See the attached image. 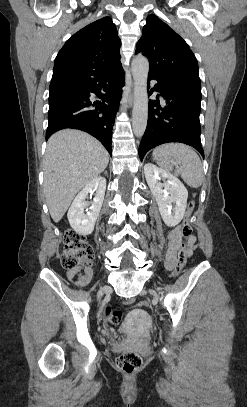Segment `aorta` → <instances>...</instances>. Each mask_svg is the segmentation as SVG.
<instances>
[{
  "mask_svg": "<svg viewBox=\"0 0 247 407\" xmlns=\"http://www.w3.org/2000/svg\"><path fill=\"white\" fill-rule=\"evenodd\" d=\"M134 79V105L132 111V127L137 137L143 136L148 119L147 78L149 62L142 56H136L131 63Z\"/></svg>",
  "mask_w": 247,
  "mask_h": 407,
  "instance_id": "obj_1",
  "label": "aorta"
}]
</instances>
